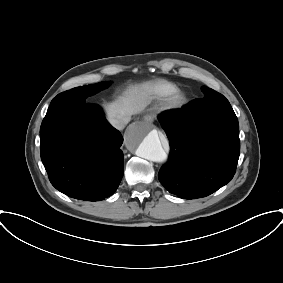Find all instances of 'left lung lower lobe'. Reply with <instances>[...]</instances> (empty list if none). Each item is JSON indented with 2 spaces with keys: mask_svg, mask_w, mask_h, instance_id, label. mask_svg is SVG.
<instances>
[{
  "mask_svg": "<svg viewBox=\"0 0 283 283\" xmlns=\"http://www.w3.org/2000/svg\"><path fill=\"white\" fill-rule=\"evenodd\" d=\"M234 116L228 100L216 91L158 115L170 141L158 178L170 193L206 197L232 180L240 154L239 129L228 126Z\"/></svg>",
  "mask_w": 283,
  "mask_h": 283,
  "instance_id": "0a47b994",
  "label": "left lung lower lobe"
}]
</instances>
